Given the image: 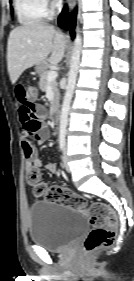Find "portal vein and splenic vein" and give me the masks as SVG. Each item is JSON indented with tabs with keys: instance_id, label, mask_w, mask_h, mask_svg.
<instances>
[{
	"instance_id": "1",
	"label": "portal vein and splenic vein",
	"mask_w": 134,
	"mask_h": 281,
	"mask_svg": "<svg viewBox=\"0 0 134 281\" xmlns=\"http://www.w3.org/2000/svg\"><path fill=\"white\" fill-rule=\"evenodd\" d=\"M58 73L56 71H50L47 75V80L48 81H53L57 78Z\"/></svg>"
}]
</instances>
